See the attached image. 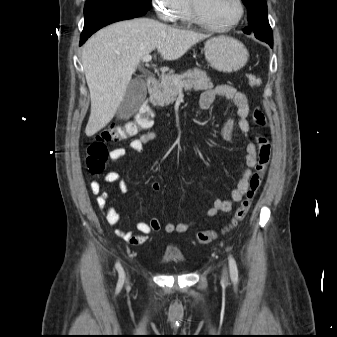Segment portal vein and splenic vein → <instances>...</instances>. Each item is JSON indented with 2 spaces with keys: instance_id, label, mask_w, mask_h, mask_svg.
Returning <instances> with one entry per match:
<instances>
[{
  "instance_id": "obj_1",
  "label": "portal vein and splenic vein",
  "mask_w": 337,
  "mask_h": 337,
  "mask_svg": "<svg viewBox=\"0 0 337 337\" xmlns=\"http://www.w3.org/2000/svg\"><path fill=\"white\" fill-rule=\"evenodd\" d=\"M151 59H152V56L150 54L142 57L143 62H149V61H151ZM175 83L177 84V82H175Z\"/></svg>"
}]
</instances>
